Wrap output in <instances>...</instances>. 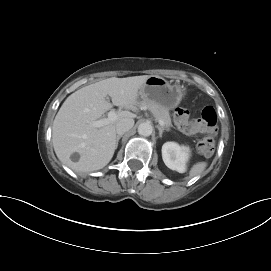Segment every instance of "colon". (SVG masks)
I'll use <instances>...</instances> for the list:
<instances>
[{
    "label": "colon",
    "mask_w": 271,
    "mask_h": 271,
    "mask_svg": "<svg viewBox=\"0 0 271 271\" xmlns=\"http://www.w3.org/2000/svg\"><path fill=\"white\" fill-rule=\"evenodd\" d=\"M174 121L184 133H202L203 137L197 145L198 150L206 156L212 154L215 148L212 134L217 130V113L213 107H205L201 117L196 120L190 118V111L187 108H178L174 113Z\"/></svg>",
    "instance_id": "1"
}]
</instances>
